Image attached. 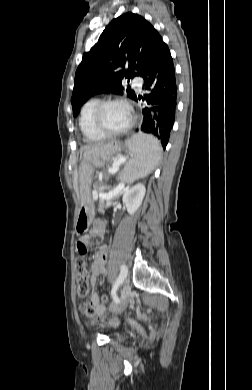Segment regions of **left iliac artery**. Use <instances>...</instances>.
Masks as SVG:
<instances>
[{
	"instance_id": "44dca946",
	"label": "left iliac artery",
	"mask_w": 252,
	"mask_h": 390,
	"mask_svg": "<svg viewBox=\"0 0 252 390\" xmlns=\"http://www.w3.org/2000/svg\"><path fill=\"white\" fill-rule=\"evenodd\" d=\"M127 272H128L127 267L125 265H122L120 268L119 276L116 279V281L113 285L112 291H111V296H112L113 300H118L119 303H120V300L116 294V291H117L119 285L122 284L123 281L125 280V278L127 276Z\"/></svg>"
}]
</instances>
